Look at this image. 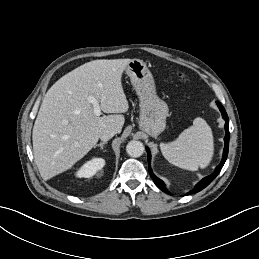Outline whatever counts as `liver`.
<instances>
[{
  "label": "liver",
  "mask_w": 259,
  "mask_h": 259,
  "mask_svg": "<svg viewBox=\"0 0 259 259\" xmlns=\"http://www.w3.org/2000/svg\"><path fill=\"white\" fill-rule=\"evenodd\" d=\"M131 59L94 60L61 77L45 94L34 123L35 163L44 180L70 169L98 142L105 130L120 133L129 104L122 74ZM100 102L96 116L88 96Z\"/></svg>",
  "instance_id": "6515ba94"
}]
</instances>
